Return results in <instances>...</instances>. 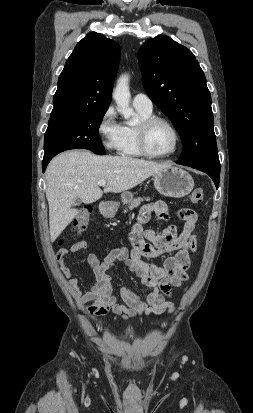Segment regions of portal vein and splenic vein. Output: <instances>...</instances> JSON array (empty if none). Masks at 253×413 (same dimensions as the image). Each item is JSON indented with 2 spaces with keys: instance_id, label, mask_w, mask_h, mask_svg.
Here are the masks:
<instances>
[{
  "instance_id": "1",
  "label": "portal vein and splenic vein",
  "mask_w": 253,
  "mask_h": 413,
  "mask_svg": "<svg viewBox=\"0 0 253 413\" xmlns=\"http://www.w3.org/2000/svg\"><path fill=\"white\" fill-rule=\"evenodd\" d=\"M98 185L104 187L106 185V182L105 181H99Z\"/></svg>"
}]
</instances>
